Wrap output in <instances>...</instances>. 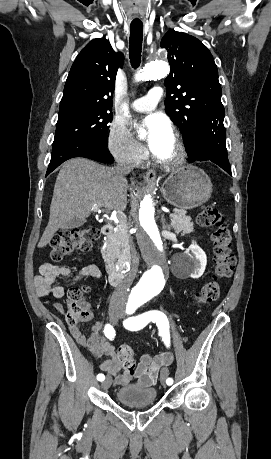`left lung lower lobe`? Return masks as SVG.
Returning a JSON list of instances; mask_svg holds the SVG:
<instances>
[{"mask_svg":"<svg viewBox=\"0 0 271 459\" xmlns=\"http://www.w3.org/2000/svg\"><path fill=\"white\" fill-rule=\"evenodd\" d=\"M197 141L199 148L196 154L188 157L190 163L210 160L232 175L227 156L226 129L223 120L201 129L197 134Z\"/></svg>","mask_w":271,"mask_h":459,"instance_id":"obj_1","label":"left lung lower lobe"}]
</instances>
